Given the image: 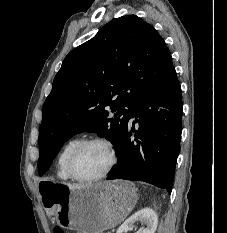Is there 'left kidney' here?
Listing matches in <instances>:
<instances>
[{
	"instance_id": "1",
	"label": "left kidney",
	"mask_w": 227,
	"mask_h": 233,
	"mask_svg": "<svg viewBox=\"0 0 227 233\" xmlns=\"http://www.w3.org/2000/svg\"><path fill=\"white\" fill-rule=\"evenodd\" d=\"M141 222L146 225V228L142 230L141 233H154L157 224L158 217L154 210L151 208H144L135 214H133L130 218H128L117 230L116 233H123L133 230L134 224L136 222Z\"/></svg>"
}]
</instances>
